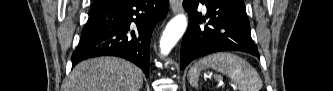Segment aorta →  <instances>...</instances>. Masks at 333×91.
Masks as SVG:
<instances>
[{"label":"aorta","mask_w":333,"mask_h":91,"mask_svg":"<svg viewBox=\"0 0 333 91\" xmlns=\"http://www.w3.org/2000/svg\"><path fill=\"white\" fill-rule=\"evenodd\" d=\"M186 27L187 18L184 14H178L169 21L160 39V51L162 55L166 56L170 53L184 34Z\"/></svg>","instance_id":"aorta-1"}]
</instances>
